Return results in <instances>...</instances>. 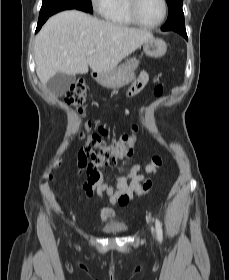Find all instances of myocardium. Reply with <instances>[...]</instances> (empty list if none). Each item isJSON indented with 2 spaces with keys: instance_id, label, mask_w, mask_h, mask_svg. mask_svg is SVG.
I'll use <instances>...</instances> for the list:
<instances>
[{
  "instance_id": "myocardium-1",
  "label": "myocardium",
  "mask_w": 229,
  "mask_h": 280,
  "mask_svg": "<svg viewBox=\"0 0 229 280\" xmlns=\"http://www.w3.org/2000/svg\"><path fill=\"white\" fill-rule=\"evenodd\" d=\"M162 6H163V13L161 15V18L156 23H145L143 22L139 16H138V3L139 0H127V10L128 13L132 19V21L141 27L145 28H156L159 27L166 19L168 14V4L167 0H161Z\"/></svg>"
}]
</instances>
